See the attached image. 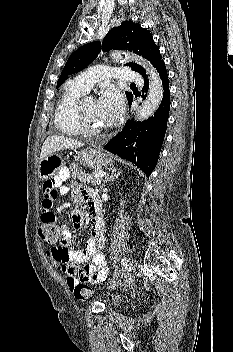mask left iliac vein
<instances>
[{"label":"left iliac vein","mask_w":233,"mask_h":352,"mask_svg":"<svg viewBox=\"0 0 233 352\" xmlns=\"http://www.w3.org/2000/svg\"><path fill=\"white\" fill-rule=\"evenodd\" d=\"M136 260L135 259H132L130 262H129V271H132L135 267H136Z\"/></svg>","instance_id":"4c4485c4"}]
</instances>
